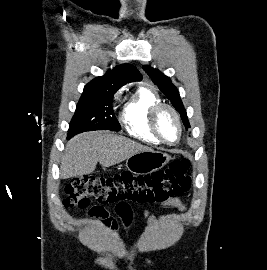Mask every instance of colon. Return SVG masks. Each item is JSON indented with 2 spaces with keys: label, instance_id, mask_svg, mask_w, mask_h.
<instances>
[{
  "label": "colon",
  "instance_id": "1",
  "mask_svg": "<svg viewBox=\"0 0 267 270\" xmlns=\"http://www.w3.org/2000/svg\"><path fill=\"white\" fill-rule=\"evenodd\" d=\"M189 161L177 160L165 170L146 175L124 172L111 177L84 176L65 188L63 204L67 208L85 209L91 200L101 204L132 201L163 203L190 189Z\"/></svg>",
  "mask_w": 267,
  "mask_h": 270
}]
</instances>
